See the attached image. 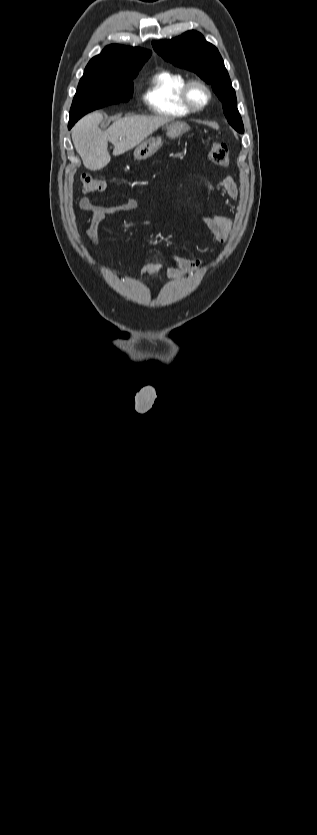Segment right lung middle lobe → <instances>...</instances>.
Listing matches in <instances>:
<instances>
[{
	"label": "right lung middle lobe",
	"mask_w": 317,
	"mask_h": 835,
	"mask_svg": "<svg viewBox=\"0 0 317 835\" xmlns=\"http://www.w3.org/2000/svg\"><path fill=\"white\" fill-rule=\"evenodd\" d=\"M140 68L104 74H84L73 99L68 128L95 109L127 102L133 94L132 79L137 76Z\"/></svg>",
	"instance_id": "1"
}]
</instances>
